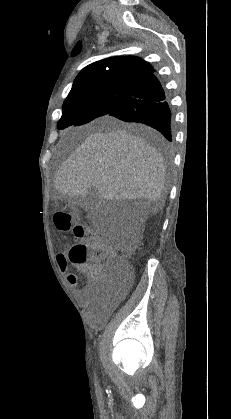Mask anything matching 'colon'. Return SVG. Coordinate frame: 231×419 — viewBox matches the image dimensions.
Returning <instances> with one entry per match:
<instances>
[{"label": "colon", "instance_id": "obj_1", "mask_svg": "<svg viewBox=\"0 0 231 419\" xmlns=\"http://www.w3.org/2000/svg\"><path fill=\"white\" fill-rule=\"evenodd\" d=\"M55 223L59 230H71L80 240L72 245L68 258L59 255L58 260L62 258L73 265H86L89 275L100 288L107 284L111 290H116L129 280L132 267L125 252L116 251L105 244L89 225L75 221L68 211L59 210Z\"/></svg>", "mask_w": 231, "mask_h": 419}]
</instances>
